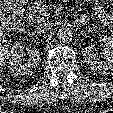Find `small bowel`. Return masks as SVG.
I'll use <instances>...</instances> for the list:
<instances>
[{"label": "small bowel", "mask_w": 113, "mask_h": 113, "mask_svg": "<svg viewBox=\"0 0 113 113\" xmlns=\"http://www.w3.org/2000/svg\"><path fill=\"white\" fill-rule=\"evenodd\" d=\"M85 1H92V3L94 4L95 6V15L96 17L102 21L103 23L107 24L113 31V19L111 16L107 15L100 7H99V1L100 0H85ZM111 1V4H112V1L113 0H109ZM84 16V15H82ZM85 17V16H84Z\"/></svg>", "instance_id": "obj_1"}]
</instances>
